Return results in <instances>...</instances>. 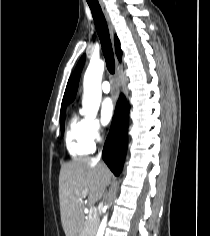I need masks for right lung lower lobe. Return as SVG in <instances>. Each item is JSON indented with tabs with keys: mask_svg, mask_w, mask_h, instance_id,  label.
<instances>
[{
	"mask_svg": "<svg viewBox=\"0 0 210 236\" xmlns=\"http://www.w3.org/2000/svg\"><path fill=\"white\" fill-rule=\"evenodd\" d=\"M128 106L123 95L120 96L111 129L105 142L102 158L110 170L119 175L127 148Z\"/></svg>",
	"mask_w": 210,
	"mask_h": 236,
	"instance_id": "98d812e1",
	"label": "right lung lower lobe"
}]
</instances>
